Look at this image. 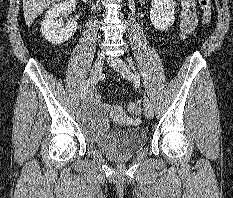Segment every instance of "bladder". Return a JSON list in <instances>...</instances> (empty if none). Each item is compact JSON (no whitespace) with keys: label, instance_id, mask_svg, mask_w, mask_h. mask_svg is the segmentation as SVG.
Instances as JSON below:
<instances>
[{"label":"bladder","instance_id":"31cf9c89","mask_svg":"<svg viewBox=\"0 0 233 198\" xmlns=\"http://www.w3.org/2000/svg\"><path fill=\"white\" fill-rule=\"evenodd\" d=\"M80 125L87 140L111 157L129 156L147 143L143 127L110 129L108 109L100 102H94L82 111Z\"/></svg>","mask_w":233,"mask_h":198}]
</instances>
